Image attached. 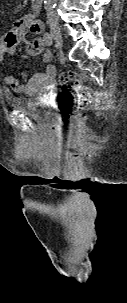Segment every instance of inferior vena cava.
<instances>
[{
	"instance_id": "602c4592",
	"label": "inferior vena cava",
	"mask_w": 127,
	"mask_h": 303,
	"mask_svg": "<svg viewBox=\"0 0 127 303\" xmlns=\"http://www.w3.org/2000/svg\"><path fill=\"white\" fill-rule=\"evenodd\" d=\"M51 17H53L55 19H58L57 15H56V12H54V11L51 13Z\"/></svg>"
}]
</instances>
